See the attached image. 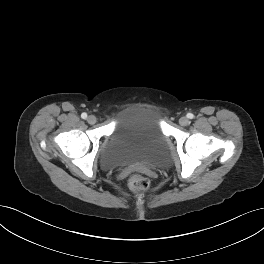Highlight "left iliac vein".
I'll return each mask as SVG.
<instances>
[{"mask_svg": "<svg viewBox=\"0 0 264 264\" xmlns=\"http://www.w3.org/2000/svg\"><path fill=\"white\" fill-rule=\"evenodd\" d=\"M179 123L182 126H187L189 124V119L187 117H181L180 120H179Z\"/></svg>", "mask_w": 264, "mask_h": 264, "instance_id": "4c4485c4", "label": "left iliac vein"}]
</instances>
